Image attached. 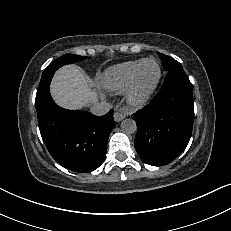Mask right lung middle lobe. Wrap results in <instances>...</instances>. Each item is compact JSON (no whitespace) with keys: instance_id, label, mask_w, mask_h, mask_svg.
<instances>
[{"instance_id":"obj_1","label":"right lung middle lobe","mask_w":231,"mask_h":231,"mask_svg":"<svg viewBox=\"0 0 231 231\" xmlns=\"http://www.w3.org/2000/svg\"><path fill=\"white\" fill-rule=\"evenodd\" d=\"M86 59V56H78V55H73V54H65L55 61H53L43 72L44 74L49 73L50 71H56L59 67L66 65V64H71L74 62H79Z\"/></svg>"}]
</instances>
